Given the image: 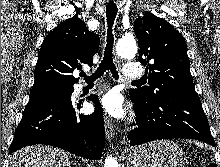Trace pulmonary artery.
I'll use <instances>...</instances> for the list:
<instances>
[{"instance_id":"e3ab8cb5","label":"pulmonary artery","mask_w":220,"mask_h":167,"mask_svg":"<svg viewBox=\"0 0 220 167\" xmlns=\"http://www.w3.org/2000/svg\"><path fill=\"white\" fill-rule=\"evenodd\" d=\"M143 68L139 64H125L123 68V77L125 79H137L143 75Z\"/></svg>"}]
</instances>
